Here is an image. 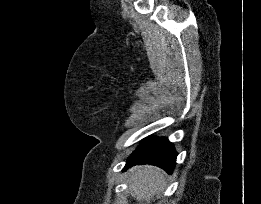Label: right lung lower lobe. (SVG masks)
Here are the masks:
<instances>
[{
	"mask_svg": "<svg viewBox=\"0 0 261 204\" xmlns=\"http://www.w3.org/2000/svg\"><path fill=\"white\" fill-rule=\"evenodd\" d=\"M177 153L166 138L149 139L143 142L127 159L124 170L136 164H151L172 173L176 165Z\"/></svg>",
	"mask_w": 261,
	"mask_h": 204,
	"instance_id": "1",
	"label": "right lung lower lobe"
}]
</instances>
